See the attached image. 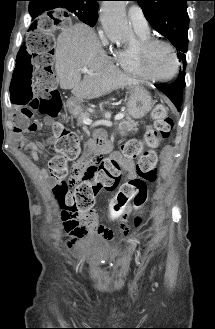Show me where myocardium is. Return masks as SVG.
I'll return each instance as SVG.
<instances>
[{
    "mask_svg": "<svg viewBox=\"0 0 215 329\" xmlns=\"http://www.w3.org/2000/svg\"><path fill=\"white\" fill-rule=\"evenodd\" d=\"M157 45H164V46L168 47L170 49V51L173 55L174 61H175L174 70L167 77H156V76L152 75L147 69V62H148L150 52ZM137 64H138L139 70H140L141 74L144 76V78H147V79H149L151 81H155V82H166V81L172 80L178 74L179 69H180V60H179V57H178V54H177V51H176V48L174 47V45L172 43H170L169 41L159 39V38H151V39H148V40L140 43V45L138 46V50H137Z\"/></svg>",
    "mask_w": 215,
    "mask_h": 329,
    "instance_id": "1",
    "label": "myocardium"
}]
</instances>
